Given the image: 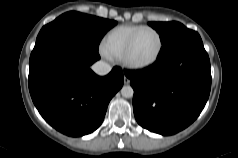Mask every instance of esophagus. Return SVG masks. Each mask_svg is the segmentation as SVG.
Returning a JSON list of instances; mask_svg holds the SVG:
<instances>
[{"label":"esophagus","mask_w":238,"mask_h":158,"mask_svg":"<svg viewBox=\"0 0 238 158\" xmlns=\"http://www.w3.org/2000/svg\"><path fill=\"white\" fill-rule=\"evenodd\" d=\"M130 83V79L127 78L125 75H124V84H129Z\"/></svg>","instance_id":"1"}]
</instances>
